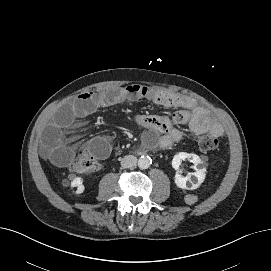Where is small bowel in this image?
<instances>
[{"mask_svg": "<svg viewBox=\"0 0 271 271\" xmlns=\"http://www.w3.org/2000/svg\"><path fill=\"white\" fill-rule=\"evenodd\" d=\"M149 100L167 108H179L171 116L138 115V125L147 129L145 137L154 138L153 133H160L158 144L168 149L181 141L184 133L177 126L187 125L197 135H222V126L212 118L209 111L188 96L165 91L157 87L129 85L106 91H89L78 95L73 101L63 105L46 128L42 144V155L57 166H65L73 157V150L67 144L64 130L74 124L76 119L86 117L99 108L126 101ZM88 147L100 158L109 156L112 150L109 137L97 136L88 142Z\"/></svg>", "mask_w": 271, "mask_h": 271, "instance_id": "small-bowel-1", "label": "small bowel"}]
</instances>
